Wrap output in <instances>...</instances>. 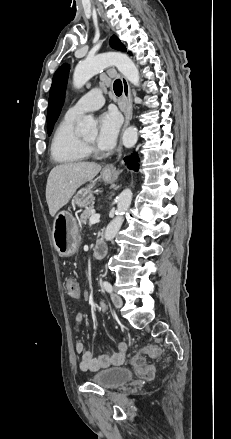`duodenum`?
<instances>
[{
	"label": "duodenum",
	"instance_id": "duodenum-1",
	"mask_svg": "<svg viewBox=\"0 0 231 439\" xmlns=\"http://www.w3.org/2000/svg\"><path fill=\"white\" fill-rule=\"evenodd\" d=\"M107 245L104 241H98L93 247V257L101 259L107 254Z\"/></svg>",
	"mask_w": 231,
	"mask_h": 439
}]
</instances>
